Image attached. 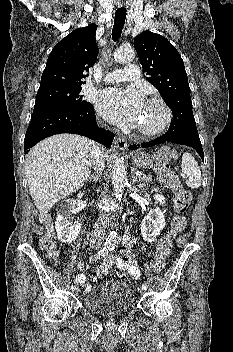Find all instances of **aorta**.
Returning a JSON list of instances; mask_svg holds the SVG:
<instances>
[{
    "label": "aorta",
    "mask_w": 233,
    "mask_h": 352,
    "mask_svg": "<svg viewBox=\"0 0 233 352\" xmlns=\"http://www.w3.org/2000/svg\"><path fill=\"white\" fill-rule=\"evenodd\" d=\"M134 57V50L129 47H120L115 53V58L119 62H129L132 61ZM112 184L115 192V197L120 199L127 184V170L124 161L120 158V156L116 154L112 164ZM116 238L117 232L111 231L108 237V242H115Z\"/></svg>",
    "instance_id": "obj_1"
}]
</instances>
